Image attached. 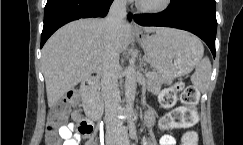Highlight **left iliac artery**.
Returning <instances> with one entry per match:
<instances>
[{
  "label": "left iliac artery",
  "instance_id": "44dca946",
  "mask_svg": "<svg viewBox=\"0 0 243 145\" xmlns=\"http://www.w3.org/2000/svg\"><path fill=\"white\" fill-rule=\"evenodd\" d=\"M129 132H130L131 138L135 139L136 138V128H135L134 123H131L129 125Z\"/></svg>",
  "mask_w": 243,
  "mask_h": 145
}]
</instances>
